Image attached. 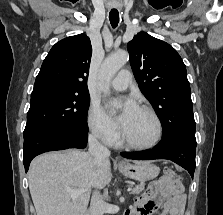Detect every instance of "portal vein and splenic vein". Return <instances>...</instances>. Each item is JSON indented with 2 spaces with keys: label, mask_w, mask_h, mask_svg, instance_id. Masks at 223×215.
<instances>
[{
  "label": "portal vein and splenic vein",
  "mask_w": 223,
  "mask_h": 215,
  "mask_svg": "<svg viewBox=\"0 0 223 215\" xmlns=\"http://www.w3.org/2000/svg\"><path fill=\"white\" fill-rule=\"evenodd\" d=\"M133 189V186H128L125 190L127 192L131 191ZM84 191H86V189H72V191H70V193H72L71 197L72 199H75V197H78L79 193H84ZM105 197H107L108 193L106 191V193H104Z\"/></svg>",
  "instance_id": "18ae733b"
}]
</instances>
